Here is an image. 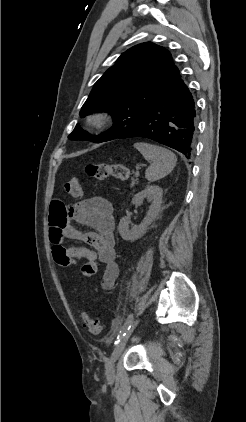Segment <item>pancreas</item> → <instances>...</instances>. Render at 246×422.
<instances>
[{
  "instance_id": "obj_1",
  "label": "pancreas",
  "mask_w": 246,
  "mask_h": 422,
  "mask_svg": "<svg viewBox=\"0 0 246 422\" xmlns=\"http://www.w3.org/2000/svg\"><path fill=\"white\" fill-rule=\"evenodd\" d=\"M136 183H138V179L137 178L132 179L131 186H134V184H136Z\"/></svg>"
}]
</instances>
